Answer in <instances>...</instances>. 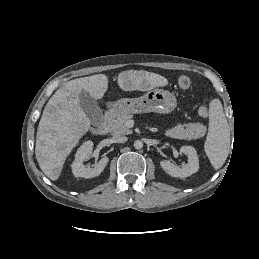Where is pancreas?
<instances>
[{
  "mask_svg": "<svg viewBox=\"0 0 259 259\" xmlns=\"http://www.w3.org/2000/svg\"><path fill=\"white\" fill-rule=\"evenodd\" d=\"M133 118L132 114H124L116 118L106 120V126L113 135H128L132 133L126 123ZM206 127L201 123L178 124L173 128L168 129L165 135L177 139H198L205 135Z\"/></svg>",
  "mask_w": 259,
  "mask_h": 259,
  "instance_id": "obj_1",
  "label": "pancreas"
}]
</instances>
